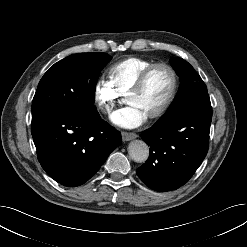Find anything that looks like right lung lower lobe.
I'll return each instance as SVG.
<instances>
[{
	"label": "right lung lower lobe",
	"mask_w": 247,
	"mask_h": 247,
	"mask_svg": "<svg viewBox=\"0 0 247 247\" xmlns=\"http://www.w3.org/2000/svg\"><path fill=\"white\" fill-rule=\"evenodd\" d=\"M31 132L42 168L68 187L89 180L122 142L98 112L88 116L68 107L32 116Z\"/></svg>",
	"instance_id": "98d812e1"
}]
</instances>
